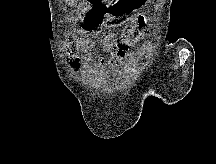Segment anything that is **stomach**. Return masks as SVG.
<instances>
[{"label": "stomach", "mask_w": 216, "mask_h": 164, "mask_svg": "<svg viewBox=\"0 0 216 164\" xmlns=\"http://www.w3.org/2000/svg\"><path fill=\"white\" fill-rule=\"evenodd\" d=\"M149 0H110L108 7L89 9V14L105 15L107 20H129L133 11L144 7Z\"/></svg>", "instance_id": "1"}]
</instances>
